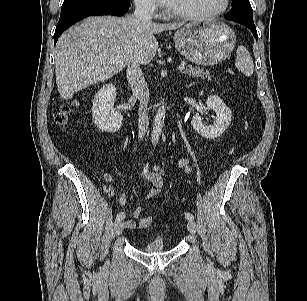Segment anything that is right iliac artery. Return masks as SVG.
Wrapping results in <instances>:
<instances>
[{
    "label": "right iliac artery",
    "instance_id": "right-iliac-artery-1",
    "mask_svg": "<svg viewBox=\"0 0 307 301\" xmlns=\"http://www.w3.org/2000/svg\"><path fill=\"white\" fill-rule=\"evenodd\" d=\"M148 167V165H146V167H145V171H146V168ZM125 218V213L124 212H120V213H118L117 214V216H116V219L117 220H122V219H124Z\"/></svg>",
    "mask_w": 307,
    "mask_h": 301
}]
</instances>
